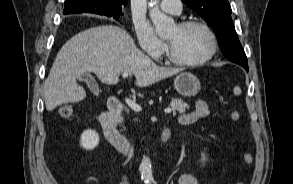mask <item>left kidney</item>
Listing matches in <instances>:
<instances>
[{
	"instance_id": "5707ae66",
	"label": "left kidney",
	"mask_w": 293,
	"mask_h": 184,
	"mask_svg": "<svg viewBox=\"0 0 293 184\" xmlns=\"http://www.w3.org/2000/svg\"><path fill=\"white\" fill-rule=\"evenodd\" d=\"M202 156H203L202 160L205 161V156L203 154H202Z\"/></svg>"
}]
</instances>
